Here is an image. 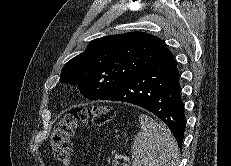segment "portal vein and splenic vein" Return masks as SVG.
<instances>
[{"label":"portal vein and splenic vein","instance_id":"obj_1","mask_svg":"<svg viewBox=\"0 0 231 166\" xmlns=\"http://www.w3.org/2000/svg\"><path fill=\"white\" fill-rule=\"evenodd\" d=\"M123 166H129L127 163H123Z\"/></svg>","mask_w":231,"mask_h":166}]
</instances>
